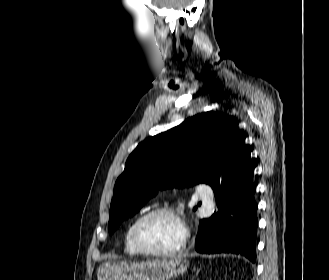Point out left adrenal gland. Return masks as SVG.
Masks as SVG:
<instances>
[{
  "label": "left adrenal gland",
  "instance_id": "a2214340",
  "mask_svg": "<svg viewBox=\"0 0 329 280\" xmlns=\"http://www.w3.org/2000/svg\"><path fill=\"white\" fill-rule=\"evenodd\" d=\"M194 271H195V269H194ZM198 272H199V270H197L196 275H198Z\"/></svg>",
  "mask_w": 329,
  "mask_h": 280
}]
</instances>
